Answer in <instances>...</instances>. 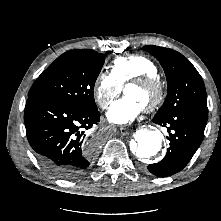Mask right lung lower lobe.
<instances>
[{"label":"right lung lower lobe","mask_w":221,"mask_h":221,"mask_svg":"<svg viewBox=\"0 0 221 221\" xmlns=\"http://www.w3.org/2000/svg\"><path fill=\"white\" fill-rule=\"evenodd\" d=\"M100 121V112L79 109L42 96H30L24 111L27 139L40 164L61 179L82 175L94 147L84 143V130Z\"/></svg>","instance_id":"1"}]
</instances>
